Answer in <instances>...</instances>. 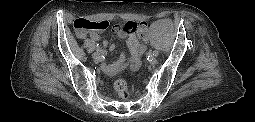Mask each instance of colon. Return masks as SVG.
Wrapping results in <instances>:
<instances>
[{
    "mask_svg": "<svg viewBox=\"0 0 255 122\" xmlns=\"http://www.w3.org/2000/svg\"><path fill=\"white\" fill-rule=\"evenodd\" d=\"M109 27V22L105 20H89L85 18H78L73 23V29L79 37L85 36L91 31H103ZM123 28L128 32H136L138 37L143 40L146 37V28L143 24L134 21H128L123 25ZM114 88L118 96L126 100L129 98L130 93L127 84L124 80H117Z\"/></svg>",
    "mask_w": 255,
    "mask_h": 122,
    "instance_id": "colon-1",
    "label": "colon"
}]
</instances>
